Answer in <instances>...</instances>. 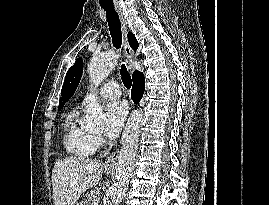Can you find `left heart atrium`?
Here are the masks:
<instances>
[{"label": "left heart atrium", "instance_id": "obj_1", "mask_svg": "<svg viewBox=\"0 0 269 205\" xmlns=\"http://www.w3.org/2000/svg\"><path fill=\"white\" fill-rule=\"evenodd\" d=\"M128 113V105L125 101H114L107 108V121L105 126V134L107 137L116 138L126 120Z\"/></svg>", "mask_w": 269, "mask_h": 205}]
</instances>
